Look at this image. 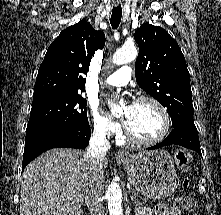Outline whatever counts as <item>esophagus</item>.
Masks as SVG:
<instances>
[{"label": "esophagus", "instance_id": "esophagus-1", "mask_svg": "<svg viewBox=\"0 0 221 215\" xmlns=\"http://www.w3.org/2000/svg\"><path fill=\"white\" fill-rule=\"evenodd\" d=\"M116 156H119V157L121 156L122 157V156H124V153L119 151V152L116 153Z\"/></svg>", "mask_w": 221, "mask_h": 215}]
</instances>
